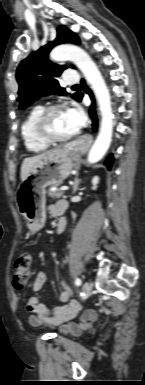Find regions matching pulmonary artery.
I'll list each match as a JSON object with an SVG mask.
<instances>
[{
  "mask_svg": "<svg viewBox=\"0 0 145 385\" xmlns=\"http://www.w3.org/2000/svg\"><path fill=\"white\" fill-rule=\"evenodd\" d=\"M64 81L66 84H74L78 82V76L77 74L72 70H67L65 72V78Z\"/></svg>",
  "mask_w": 145,
  "mask_h": 385,
  "instance_id": "e3ab8cb5",
  "label": "pulmonary artery"
}]
</instances>
